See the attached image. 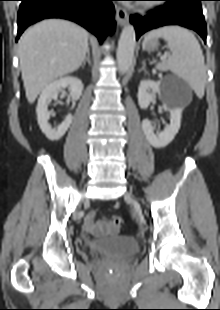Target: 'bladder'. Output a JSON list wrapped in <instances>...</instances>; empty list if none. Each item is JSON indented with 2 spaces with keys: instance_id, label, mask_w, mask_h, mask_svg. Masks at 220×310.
<instances>
[{
  "instance_id": "bladder-1",
  "label": "bladder",
  "mask_w": 220,
  "mask_h": 310,
  "mask_svg": "<svg viewBox=\"0 0 220 310\" xmlns=\"http://www.w3.org/2000/svg\"><path fill=\"white\" fill-rule=\"evenodd\" d=\"M88 249L107 258L125 259L138 252L139 243L127 237L102 238L90 241Z\"/></svg>"
}]
</instances>
